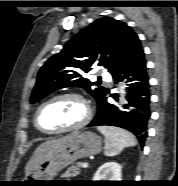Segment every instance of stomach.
<instances>
[{
  "label": "stomach",
  "mask_w": 178,
  "mask_h": 186,
  "mask_svg": "<svg viewBox=\"0 0 178 186\" xmlns=\"http://www.w3.org/2000/svg\"><path fill=\"white\" fill-rule=\"evenodd\" d=\"M102 148L101 138L90 131L76 134L65 145L50 153L24 181L32 186H45L53 181L57 173L76 160L98 154Z\"/></svg>",
  "instance_id": "obj_1"
}]
</instances>
